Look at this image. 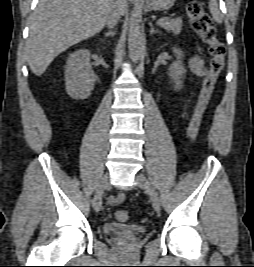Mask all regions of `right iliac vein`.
<instances>
[{
  "instance_id": "1",
  "label": "right iliac vein",
  "mask_w": 254,
  "mask_h": 267,
  "mask_svg": "<svg viewBox=\"0 0 254 267\" xmlns=\"http://www.w3.org/2000/svg\"><path fill=\"white\" fill-rule=\"evenodd\" d=\"M108 185H109V177L108 175H104L99 182L97 191L93 198V208L97 212L101 209L102 195L106 190V188L108 187Z\"/></svg>"
}]
</instances>
